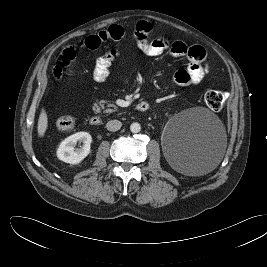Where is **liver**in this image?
I'll use <instances>...</instances> for the list:
<instances>
[{
    "label": "liver",
    "instance_id": "liver-1",
    "mask_svg": "<svg viewBox=\"0 0 267 267\" xmlns=\"http://www.w3.org/2000/svg\"><path fill=\"white\" fill-rule=\"evenodd\" d=\"M48 127V117L44 109L41 110L38 119L37 132L39 137H43Z\"/></svg>",
    "mask_w": 267,
    "mask_h": 267
}]
</instances>
